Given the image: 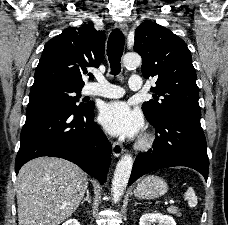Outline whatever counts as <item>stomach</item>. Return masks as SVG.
<instances>
[{
    "mask_svg": "<svg viewBox=\"0 0 228 225\" xmlns=\"http://www.w3.org/2000/svg\"><path fill=\"white\" fill-rule=\"evenodd\" d=\"M167 191L168 185L165 179L155 177V175H149V177H144L142 181H138L134 189V195L138 199H159Z\"/></svg>",
    "mask_w": 228,
    "mask_h": 225,
    "instance_id": "obj_1",
    "label": "stomach"
}]
</instances>
